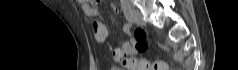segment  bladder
Returning a JSON list of instances; mask_svg holds the SVG:
<instances>
[{
    "label": "bladder",
    "instance_id": "bladder-1",
    "mask_svg": "<svg viewBox=\"0 0 238 70\" xmlns=\"http://www.w3.org/2000/svg\"><path fill=\"white\" fill-rule=\"evenodd\" d=\"M111 70H123V69L118 68V67H113V68H111Z\"/></svg>",
    "mask_w": 238,
    "mask_h": 70
}]
</instances>
